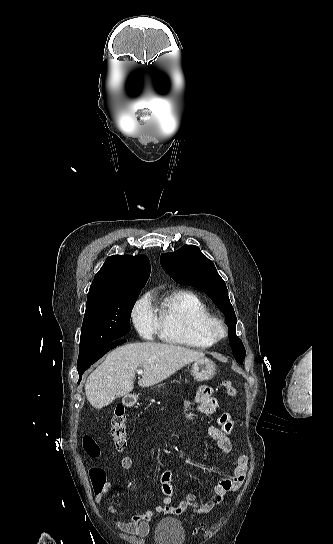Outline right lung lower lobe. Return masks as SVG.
<instances>
[{"label": "right lung lower lobe", "instance_id": "1", "mask_svg": "<svg viewBox=\"0 0 333 544\" xmlns=\"http://www.w3.org/2000/svg\"><path fill=\"white\" fill-rule=\"evenodd\" d=\"M124 342H126V340H118V341L114 342V344L109 349H107L105 352H103V353L97 355L96 357L92 358L91 360H89L83 366L78 367V373H79V376H80L79 382H80V380L82 378V374L85 372L86 369H88L93 363H95L98 359H100L102 356H104L109 350L113 349L114 347H116V346H118V345H120V344H122Z\"/></svg>", "mask_w": 333, "mask_h": 544}]
</instances>
